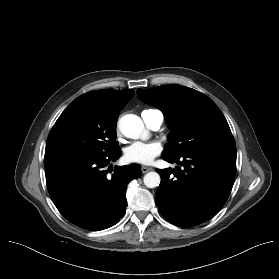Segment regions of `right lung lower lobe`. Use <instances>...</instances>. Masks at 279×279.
<instances>
[{"label": "right lung lower lobe", "mask_w": 279, "mask_h": 279, "mask_svg": "<svg viewBox=\"0 0 279 279\" xmlns=\"http://www.w3.org/2000/svg\"><path fill=\"white\" fill-rule=\"evenodd\" d=\"M121 156L66 153L44 158L47 188L60 213L86 230H103L125 214L127 184L142 174L140 165L106 166Z\"/></svg>", "instance_id": "right-lung-lower-lobe-1"}]
</instances>
